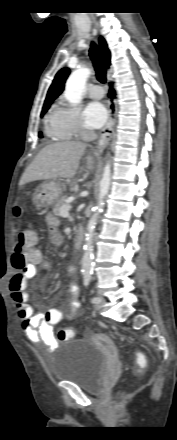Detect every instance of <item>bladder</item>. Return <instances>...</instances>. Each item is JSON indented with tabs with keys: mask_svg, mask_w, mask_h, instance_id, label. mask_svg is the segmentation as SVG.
<instances>
[{
	"mask_svg": "<svg viewBox=\"0 0 177 440\" xmlns=\"http://www.w3.org/2000/svg\"><path fill=\"white\" fill-rule=\"evenodd\" d=\"M102 348L91 341L70 339L62 342L49 366L52 379L71 382L88 393L102 389L111 340L101 342Z\"/></svg>",
	"mask_w": 177,
	"mask_h": 440,
	"instance_id": "obj_1",
	"label": "bladder"
}]
</instances>
